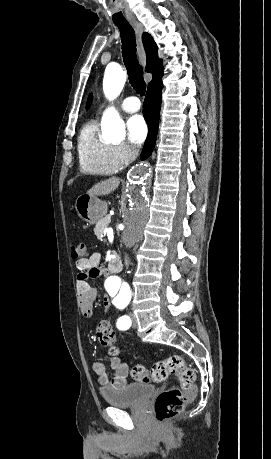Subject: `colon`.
<instances>
[{"instance_id": "5ec220e1", "label": "colon", "mask_w": 271, "mask_h": 459, "mask_svg": "<svg viewBox=\"0 0 271 459\" xmlns=\"http://www.w3.org/2000/svg\"><path fill=\"white\" fill-rule=\"evenodd\" d=\"M87 247L84 241H79L71 247V256L78 260L85 258ZM96 336L102 347L108 348L116 355V335L108 320H100L96 327ZM133 379L139 382H162L169 375H175L180 382L179 387L170 388L160 393L155 400V419L164 423L178 415L183 406L192 400L196 394L195 371L189 367L180 355H171L154 363L150 368L135 365L131 370Z\"/></svg>"}]
</instances>
